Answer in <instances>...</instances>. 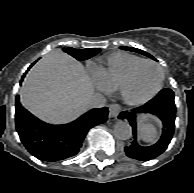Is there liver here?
Segmentation results:
<instances>
[{"instance_id":"obj_1","label":"liver","mask_w":194,"mask_h":193,"mask_svg":"<svg viewBox=\"0 0 194 193\" xmlns=\"http://www.w3.org/2000/svg\"><path fill=\"white\" fill-rule=\"evenodd\" d=\"M92 94L93 85L84 66L63 52H52L26 75L20 102L45 122L65 124L89 109L86 101Z\"/></svg>"}]
</instances>
